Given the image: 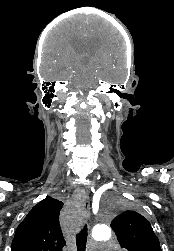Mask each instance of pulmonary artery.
<instances>
[{"mask_svg": "<svg viewBox=\"0 0 174 251\" xmlns=\"http://www.w3.org/2000/svg\"><path fill=\"white\" fill-rule=\"evenodd\" d=\"M104 246H108V244H104Z\"/></svg>", "mask_w": 174, "mask_h": 251, "instance_id": "pulmonary-artery-1", "label": "pulmonary artery"}]
</instances>
